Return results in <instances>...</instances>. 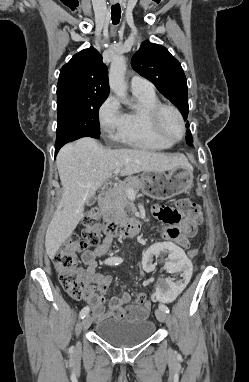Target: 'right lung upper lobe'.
I'll use <instances>...</instances> for the list:
<instances>
[{"mask_svg":"<svg viewBox=\"0 0 249 382\" xmlns=\"http://www.w3.org/2000/svg\"><path fill=\"white\" fill-rule=\"evenodd\" d=\"M108 95V70L102 56L93 47L75 54L60 70L57 107L107 98Z\"/></svg>","mask_w":249,"mask_h":382,"instance_id":"right-lung-upper-lobe-1","label":"right lung upper lobe"}]
</instances>
